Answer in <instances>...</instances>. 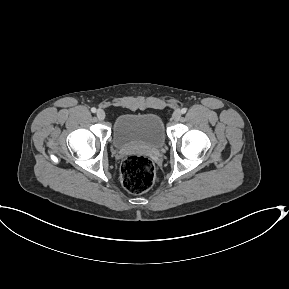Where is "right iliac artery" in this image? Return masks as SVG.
Masks as SVG:
<instances>
[{"mask_svg": "<svg viewBox=\"0 0 289 289\" xmlns=\"http://www.w3.org/2000/svg\"><path fill=\"white\" fill-rule=\"evenodd\" d=\"M91 112L95 113L96 112V108L95 107L91 108Z\"/></svg>", "mask_w": 289, "mask_h": 289, "instance_id": "obj_1", "label": "right iliac artery"}]
</instances>
